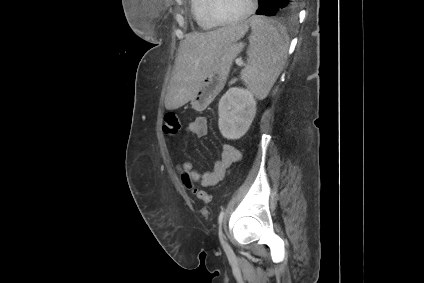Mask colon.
I'll return each instance as SVG.
<instances>
[{
    "label": "colon",
    "mask_w": 424,
    "mask_h": 283,
    "mask_svg": "<svg viewBox=\"0 0 424 283\" xmlns=\"http://www.w3.org/2000/svg\"><path fill=\"white\" fill-rule=\"evenodd\" d=\"M163 130L169 136H175L180 132L181 123L179 117L175 113L169 112L165 114ZM182 180L188 188L192 189L193 193L199 200L203 201L205 204H209L211 202V196L203 190L194 188L192 185L193 183L187 174L182 175Z\"/></svg>",
    "instance_id": "5ec220e1"
}]
</instances>
